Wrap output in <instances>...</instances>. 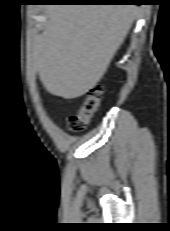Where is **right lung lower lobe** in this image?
I'll return each instance as SVG.
<instances>
[{
	"instance_id": "98d812e1",
	"label": "right lung lower lobe",
	"mask_w": 170,
	"mask_h": 231,
	"mask_svg": "<svg viewBox=\"0 0 170 231\" xmlns=\"http://www.w3.org/2000/svg\"><path fill=\"white\" fill-rule=\"evenodd\" d=\"M140 0H42V2L48 3H129L138 2Z\"/></svg>"
}]
</instances>
